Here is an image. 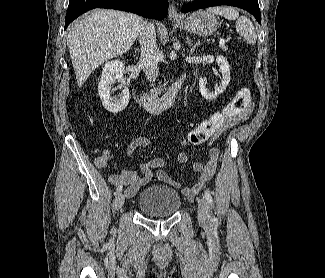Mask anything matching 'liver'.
<instances>
[{"label":"liver","instance_id":"liver-1","mask_svg":"<svg viewBox=\"0 0 325 278\" xmlns=\"http://www.w3.org/2000/svg\"><path fill=\"white\" fill-rule=\"evenodd\" d=\"M144 23L142 17L116 10L96 9L75 21L67 45L81 87L105 61L122 55L133 45Z\"/></svg>","mask_w":325,"mask_h":278}]
</instances>
